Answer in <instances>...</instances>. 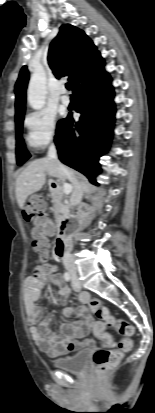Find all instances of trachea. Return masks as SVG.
<instances>
[{
	"mask_svg": "<svg viewBox=\"0 0 155 413\" xmlns=\"http://www.w3.org/2000/svg\"><path fill=\"white\" fill-rule=\"evenodd\" d=\"M66 88H67L68 90H71V89H72L71 83H67V84H66Z\"/></svg>",
	"mask_w": 155,
	"mask_h": 413,
	"instance_id": "obj_1",
	"label": "trachea"
}]
</instances>
